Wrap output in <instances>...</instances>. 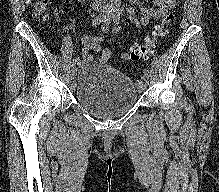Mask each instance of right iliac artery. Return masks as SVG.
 I'll list each match as a JSON object with an SVG mask.
<instances>
[{"label": "right iliac artery", "instance_id": "1", "mask_svg": "<svg viewBox=\"0 0 219 192\" xmlns=\"http://www.w3.org/2000/svg\"><path fill=\"white\" fill-rule=\"evenodd\" d=\"M114 4L110 3L108 5H106V7L102 10V12L97 15L96 17L93 18L92 20V26L96 27L97 25H99L102 21H104V19L109 16V14H111V12H113V10L115 9ZM77 62V59H73V61L71 62V67H75Z\"/></svg>", "mask_w": 219, "mask_h": 192}]
</instances>
